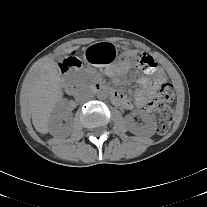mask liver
I'll return each mask as SVG.
<instances>
[{"mask_svg": "<svg viewBox=\"0 0 207 207\" xmlns=\"http://www.w3.org/2000/svg\"><path fill=\"white\" fill-rule=\"evenodd\" d=\"M79 47L65 49L61 54H68ZM57 65L53 58H48L32 69L27 75L22 96L28 103L32 115V123L37 132H49V120L52 112L62 99Z\"/></svg>", "mask_w": 207, "mask_h": 207, "instance_id": "1", "label": "liver"}]
</instances>
